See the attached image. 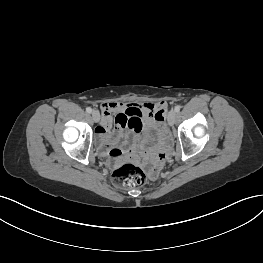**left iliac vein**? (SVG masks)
<instances>
[{
	"label": "left iliac vein",
	"instance_id": "left-iliac-vein-1",
	"mask_svg": "<svg viewBox=\"0 0 263 263\" xmlns=\"http://www.w3.org/2000/svg\"><path fill=\"white\" fill-rule=\"evenodd\" d=\"M176 117H177V113L175 110H171L168 114V117H167V120H168V123L169 125H173L176 121Z\"/></svg>",
	"mask_w": 263,
	"mask_h": 263
}]
</instances>
